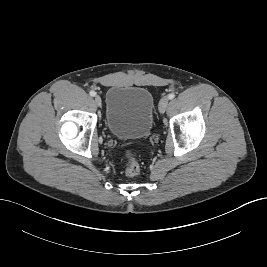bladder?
Returning <instances> with one entry per match:
<instances>
[{"instance_id":"31cf9c89","label":"bladder","mask_w":267,"mask_h":267,"mask_svg":"<svg viewBox=\"0 0 267 267\" xmlns=\"http://www.w3.org/2000/svg\"><path fill=\"white\" fill-rule=\"evenodd\" d=\"M155 102L151 92L138 86H112L106 93L105 125L121 139H142L152 130Z\"/></svg>"}]
</instances>
